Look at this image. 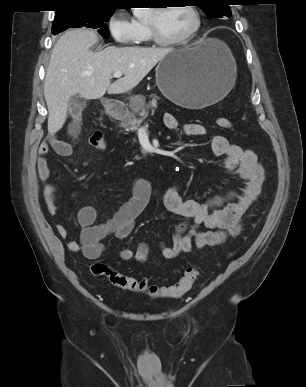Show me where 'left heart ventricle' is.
<instances>
[{
  "instance_id": "obj_1",
  "label": "left heart ventricle",
  "mask_w": 306,
  "mask_h": 387,
  "mask_svg": "<svg viewBox=\"0 0 306 387\" xmlns=\"http://www.w3.org/2000/svg\"><path fill=\"white\" fill-rule=\"evenodd\" d=\"M160 35L173 40L184 37L193 27L194 18L186 7H168L159 13H151Z\"/></svg>"
}]
</instances>
